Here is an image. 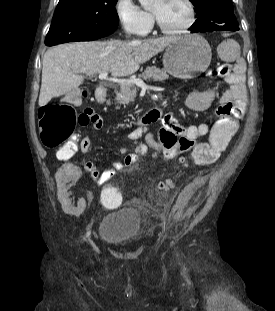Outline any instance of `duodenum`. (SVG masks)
Instances as JSON below:
<instances>
[{"instance_id":"1","label":"duodenum","mask_w":275,"mask_h":311,"mask_svg":"<svg viewBox=\"0 0 275 311\" xmlns=\"http://www.w3.org/2000/svg\"><path fill=\"white\" fill-rule=\"evenodd\" d=\"M96 97L99 101H104L106 99V88L103 85H99L96 89ZM73 96V95H72ZM70 96V97H72ZM155 109L149 111L146 115H144L140 120L139 124H145L146 119L148 118V114L154 113Z\"/></svg>"}]
</instances>
